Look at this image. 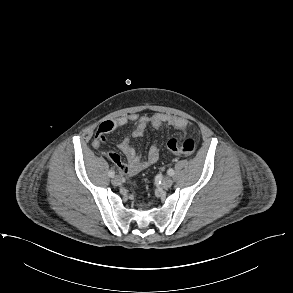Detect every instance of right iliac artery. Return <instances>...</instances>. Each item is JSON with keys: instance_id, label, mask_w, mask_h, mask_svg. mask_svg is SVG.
Segmentation results:
<instances>
[{"instance_id": "right-iliac-artery-1", "label": "right iliac artery", "mask_w": 293, "mask_h": 293, "mask_svg": "<svg viewBox=\"0 0 293 293\" xmlns=\"http://www.w3.org/2000/svg\"><path fill=\"white\" fill-rule=\"evenodd\" d=\"M109 177L113 178L115 176V172L113 170H110L108 172Z\"/></svg>"}]
</instances>
